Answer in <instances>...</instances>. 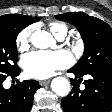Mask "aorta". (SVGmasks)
<instances>
[{
	"instance_id": "aorta-1",
	"label": "aorta",
	"mask_w": 112,
	"mask_h": 112,
	"mask_svg": "<svg viewBox=\"0 0 112 112\" xmlns=\"http://www.w3.org/2000/svg\"><path fill=\"white\" fill-rule=\"evenodd\" d=\"M31 43L38 49H46L54 44V39L50 33L37 30L31 35ZM52 91L60 96L65 97L70 92V82L65 77H56L51 82Z\"/></svg>"
}]
</instances>
